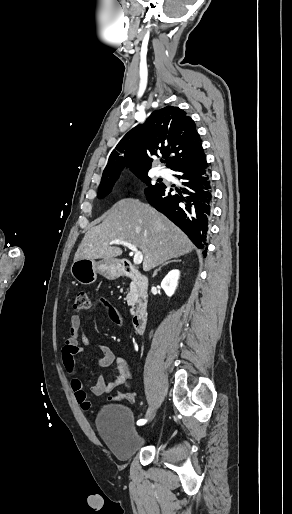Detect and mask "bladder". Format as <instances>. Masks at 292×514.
<instances>
[{
	"instance_id": "obj_1",
	"label": "bladder",
	"mask_w": 292,
	"mask_h": 514,
	"mask_svg": "<svg viewBox=\"0 0 292 514\" xmlns=\"http://www.w3.org/2000/svg\"><path fill=\"white\" fill-rule=\"evenodd\" d=\"M96 429L111 452L120 460H129L143 447L160 445L159 439H147L139 435L134 425L132 410L122 404L104 406L96 418Z\"/></svg>"
}]
</instances>
